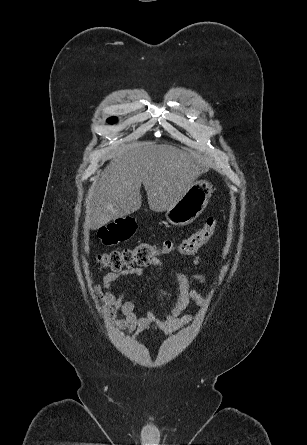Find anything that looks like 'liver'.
I'll return each mask as SVG.
<instances>
[{
    "label": "liver",
    "mask_w": 307,
    "mask_h": 445,
    "mask_svg": "<svg viewBox=\"0 0 307 445\" xmlns=\"http://www.w3.org/2000/svg\"><path fill=\"white\" fill-rule=\"evenodd\" d=\"M110 158L86 204V225L94 231L139 210L142 184L150 210H168L209 162L195 150L154 142L121 144Z\"/></svg>",
    "instance_id": "6515ba94"
}]
</instances>
